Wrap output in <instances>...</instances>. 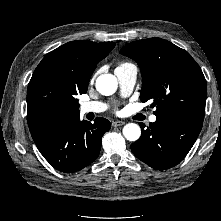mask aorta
Segmentation results:
<instances>
[{"mask_svg": "<svg viewBox=\"0 0 221 221\" xmlns=\"http://www.w3.org/2000/svg\"><path fill=\"white\" fill-rule=\"evenodd\" d=\"M117 86V79L112 74L100 75L96 80V89L104 96L114 94L117 90ZM123 135L129 141H136L140 138L141 129L135 123H128L123 128Z\"/></svg>", "mask_w": 221, "mask_h": 221, "instance_id": "1", "label": "aorta"}]
</instances>
